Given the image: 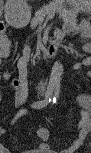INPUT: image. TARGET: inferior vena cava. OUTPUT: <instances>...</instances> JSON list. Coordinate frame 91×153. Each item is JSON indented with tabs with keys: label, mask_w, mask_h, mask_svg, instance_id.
<instances>
[{
	"label": "inferior vena cava",
	"mask_w": 91,
	"mask_h": 153,
	"mask_svg": "<svg viewBox=\"0 0 91 153\" xmlns=\"http://www.w3.org/2000/svg\"><path fill=\"white\" fill-rule=\"evenodd\" d=\"M46 85V82L43 83L42 81L40 82V86H42V88H44V86Z\"/></svg>",
	"instance_id": "602c4592"
}]
</instances>
